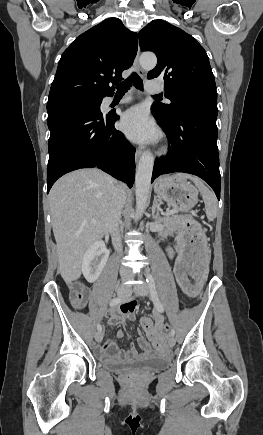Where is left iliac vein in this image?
<instances>
[{
    "instance_id": "left-iliac-vein-1",
    "label": "left iliac vein",
    "mask_w": 263,
    "mask_h": 435,
    "mask_svg": "<svg viewBox=\"0 0 263 435\" xmlns=\"http://www.w3.org/2000/svg\"><path fill=\"white\" fill-rule=\"evenodd\" d=\"M134 292L139 296H147L149 294V286L146 283L141 284L140 286L134 289ZM174 336H170L168 339V345L173 347L175 345Z\"/></svg>"
}]
</instances>
